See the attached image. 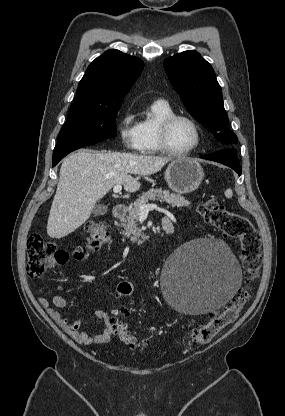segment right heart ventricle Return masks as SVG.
<instances>
[{
	"instance_id": "1",
	"label": "right heart ventricle",
	"mask_w": 285,
	"mask_h": 416,
	"mask_svg": "<svg viewBox=\"0 0 285 416\" xmlns=\"http://www.w3.org/2000/svg\"><path fill=\"white\" fill-rule=\"evenodd\" d=\"M174 111L165 99L155 100L150 113L138 119V128L141 135V151L149 154L162 152L158 139L159 123Z\"/></svg>"
}]
</instances>
